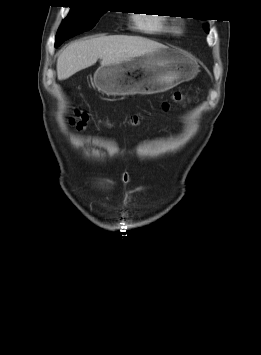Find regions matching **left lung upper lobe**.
I'll list each match as a JSON object with an SVG mask.
<instances>
[{
  "mask_svg": "<svg viewBox=\"0 0 261 355\" xmlns=\"http://www.w3.org/2000/svg\"><path fill=\"white\" fill-rule=\"evenodd\" d=\"M204 29L206 32H208V25L207 24L204 26Z\"/></svg>",
  "mask_w": 261,
  "mask_h": 355,
  "instance_id": "left-lung-upper-lobe-1",
  "label": "left lung upper lobe"
}]
</instances>
